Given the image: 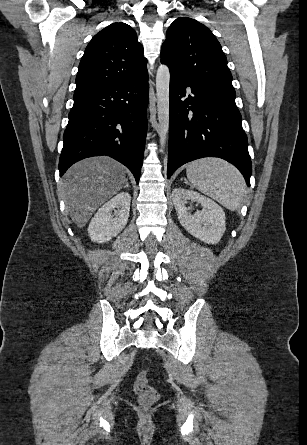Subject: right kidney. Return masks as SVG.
I'll return each mask as SVG.
<instances>
[{"mask_svg":"<svg viewBox=\"0 0 307 445\" xmlns=\"http://www.w3.org/2000/svg\"><path fill=\"white\" fill-rule=\"evenodd\" d=\"M131 196L128 192H119L111 200L105 202L98 212L94 214L88 227L91 241L94 243H107L127 225L129 218ZM117 208V210H116ZM114 210V214H112Z\"/></svg>","mask_w":307,"mask_h":445,"instance_id":"right-kidney-1","label":"right kidney"}]
</instances>
